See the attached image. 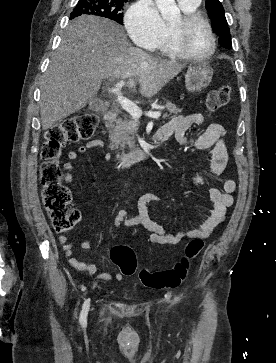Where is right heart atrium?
<instances>
[{
  "instance_id": "d8ad5b80",
  "label": "right heart atrium",
  "mask_w": 276,
  "mask_h": 363,
  "mask_svg": "<svg viewBox=\"0 0 276 363\" xmlns=\"http://www.w3.org/2000/svg\"><path fill=\"white\" fill-rule=\"evenodd\" d=\"M125 25L139 46L155 49L164 35L165 23L153 0H138L127 11Z\"/></svg>"
}]
</instances>
